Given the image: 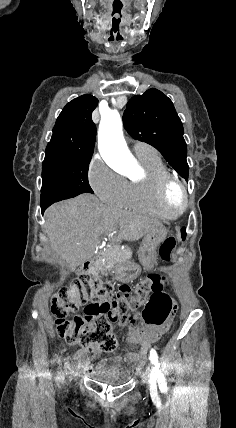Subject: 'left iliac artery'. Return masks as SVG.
Wrapping results in <instances>:
<instances>
[{
	"instance_id": "1",
	"label": "left iliac artery",
	"mask_w": 236,
	"mask_h": 428,
	"mask_svg": "<svg viewBox=\"0 0 236 428\" xmlns=\"http://www.w3.org/2000/svg\"><path fill=\"white\" fill-rule=\"evenodd\" d=\"M149 359L151 360V363L154 365L153 370L151 372V376L154 378L163 377L164 375L161 372L160 363H158V355L154 349H151Z\"/></svg>"
}]
</instances>
